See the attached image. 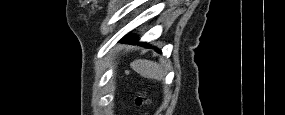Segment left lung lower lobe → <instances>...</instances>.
I'll return each instance as SVG.
<instances>
[{
	"instance_id": "obj_1",
	"label": "left lung lower lobe",
	"mask_w": 285,
	"mask_h": 115,
	"mask_svg": "<svg viewBox=\"0 0 285 115\" xmlns=\"http://www.w3.org/2000/svg\"><path fill=\"white\" fill-rule=\"evenodd\" d=\"M123 41H127L126 37L123 38ZM129 42H130V43H133V44H134V43H137V39H136V38H132V39H130ZM143 45H144V46H147L146 43H144Z\"/></svg>"
}]
</instances>
